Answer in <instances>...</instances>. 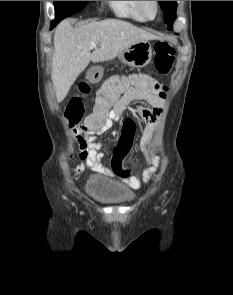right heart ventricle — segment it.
<instances>
[{
  "mask_svg": "<svg viewBox=\"0 0 233 295\" xmlns=\"http://www.w3.org/2000/svg\"><path fill=\"white\" fill-rule=\"evenodd\" d=\"M114 14L121 18H128L142 22L145 19L137 9L136 1H107Z\"/></svg>",
  "mask_w": 233,
  "mask_h": 295,
  "instance_id": "e07e8e85",
  "label": "right heart ventricle"
}]
</instances>
